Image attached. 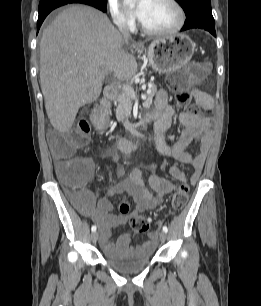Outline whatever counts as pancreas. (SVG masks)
I'll list each match as a JSON object with an SVG mask.
<instances>
[{
    "instance_id": "pancreas-1",
    "label": "pancreas",
    "mask_w": 261,
    "mask_h": 306,
    "mask_svg": "<svg viewBox=\"0 0 261 306\" xmlns=\"http://www.w3.org/2000/svg\"><path fill=\"white\" fill-rule=\"evenodd\" d=\"M149 92L146 94L147 98H153L157 93V86L154 83H148ZM135 97L121 90L117 96L118 106L116 108V118L124 125L129 124L128 118L131 115L132 101Z\"/></svg>"
}]
</instances>
